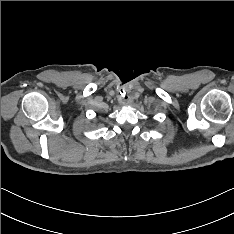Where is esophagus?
Returning a JSON list of instances; mask_svg holds the SVG:
<instances>
[{"mask_svg":"<svg viewBox=\"0 0 234 234\" xmlns=\"http://www.w3.org/2000/svg\"><path fill=\"white\" fill-rule=\"evenodd\" d=\"M123 104H127V100H125V99H123V102H122Z\"/></svg>","mask_w":234,"mask_h":234,"instance_id":"esophagus-1","label":"esophagus"}]
</instances>
